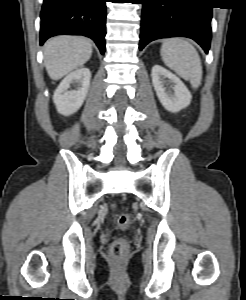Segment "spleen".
Here are the masks:
<instances>
[{
	"instance_id": "1",
	"label": "spleen",
	"mask_w": 246,
	"mask_h": 300,
	"mask_svg": "<svg viewBox=\"0 0 246 300\" xmlns=\"http://www.w3.org/2000/svg\"><path fill=\"white\" fill-rule=\"evenodd\" d=\"M164 64L180 77L189 80L193 88H198L202 80V64L194 46L181 38L166 39L161 46Z\"/></svg>"
}]
</instances>
